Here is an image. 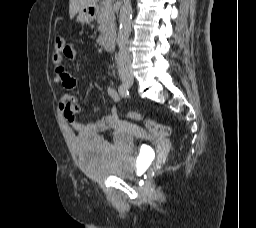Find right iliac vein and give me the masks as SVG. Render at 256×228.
<instances>
[{"instance_id": "63e3f726", "label": "right iliac vein", "mask_w": 256, "mask_h": 228, "mask_svg": "<svg viewBox=\"0 0 256 228\" xmlns=\"http://www.w3.org/2000/svg\"><path fill=\"white\" fill-rule=\"evenodd\" d=\"M122 82L126 86H129L133 83V77L130 75H124V76H122Z\"/></svg>"}]
</instances>
